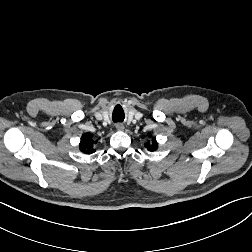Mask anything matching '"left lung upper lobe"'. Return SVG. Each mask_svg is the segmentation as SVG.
<instances>
[{
  "label": "left lung upper lobe",
  "mask_w": 252,
  "mask_h": 252,
  "mask_svg": "<svg viewBox=\"0 0 252 252\" xmlns=\"http://www.w3.org/2000/svg\"><path fill=\"white\" fill-rule=\"evenodd\" d=\"M145 147L150 150V151H155L157 149V143H156V139L152 138V140L148 141L145 143Z\"/></svg>",
  "instance_id": "obj_1"
}]
</instances>
